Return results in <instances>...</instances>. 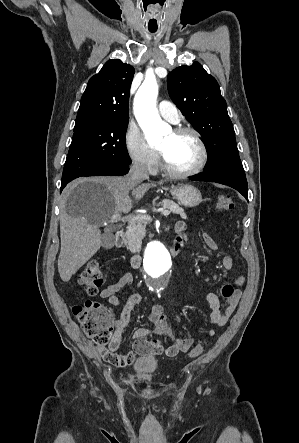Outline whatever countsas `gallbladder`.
I'll return each mask as SVG.
<instances>
[{"mask_svg": "<svg viewBox=\"0 0 299 443\" xmlns=\"http://www.w3.org/2000/svg\"><path fill=\"white\" fill-rule=\"evenodd\" d=\"M114 241L113 235L110 233H104L102 235V246L106 249L110 248L112 242Z\"/></svg>", "mask_w": 299, "mask_h": 443, "instance_id": "1", "label": "gallbladder"}]
</instances>
